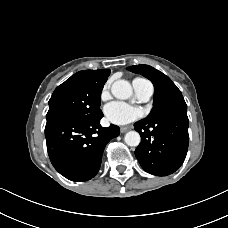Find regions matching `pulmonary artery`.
I'll return each mask as SVG.
<instances>
[{"mask_svg":"<svg viewBox=\"0 0 228 228\" xmlns=\"http://www.w3.org/2000/svg\"><path fill=\"white\" fill-rule=\"evenodd\" d=\"M133 86L141 100H148L153 94V86L148 81H133Z\"/></svg>","mask_w":228,"mask_h":228,"instance_id":"1","label":"pulmonary artery"}]
</instances>
